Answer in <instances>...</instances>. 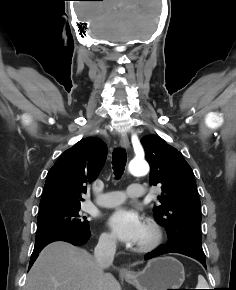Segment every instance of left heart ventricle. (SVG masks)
Here are the masks:
<instances>
[{"mask_svg": "<svg viewBox=\"0 0 236 290\" xmlns=\"http://www.w3.org/2000/svg\"><path fill=\"white\" fill-rule=\"evenodd\" d=\"M144 237H145V233L143 232V234H142V236H141V238H140L139 242H140L141 240H143V239H144Z\"/></svg>", "mask_w": 236, "mask_h": 290, "instance_id": "1", "label": "left heart ventricle"}]
</instances>
